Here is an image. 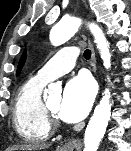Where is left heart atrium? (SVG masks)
Returning a JSON list of instances; mask_svg holds the SVG:
<instances>
[{
	"label": "left heart atrium",
	"instance_id": "39dd6f15",
	"mask_svg": "<svg viewBox=\"0 0 131 151\" xmlns=\"http://www.w3.org/2000/svg\"><path fill=\"white\" fill-rule=\"evenodd\" d=\"M95 96L93 80L85 74L73 77L66 85L59 107L62 120L75 123L86 117Z\"/></svg>",
	"mask_w": 131,
	"mask_h": 151
}]
</instances>
